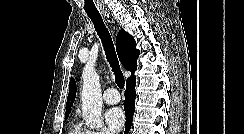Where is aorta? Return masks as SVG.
Returning <instances> with one entry per match:
<instances>
[{
  "label": "aorta",
  "mask_w": 244,
  "mask_h": 134,
  "mask_svg": "<svg viewBox=\"0 0 244 134\" xmlns=\"http://www.w3.org/2000/svg\"><path fill=\"white\" fill-rule=\"evenodd\" d=\"M82 79V117L89 127L100 128L103 126V101L99 75L95 70L85 69L82 73Z\"/></svg>",
  "instance_id": "762f6f07"
}]
</instances>
